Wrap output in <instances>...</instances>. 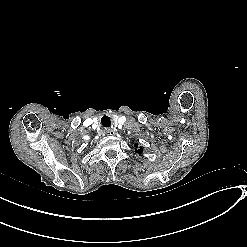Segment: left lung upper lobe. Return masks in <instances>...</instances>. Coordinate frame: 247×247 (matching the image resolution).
I'll return each mask as SVG.
<instances>
[{"instance_id":"5c2ea615","label":"left lung upper lobe","mask_w":247,"mask_h":247,"mask_svg":"<svg viewBox=\"0 0 247 247\" xmlns=\"http://www.w3.org/2000/svg\"><path fill=\"white\" fill-rule=\"evenodd\" d=\"M134 146L137 148V147H138V144H135ZM136 152H138L139 154H141V152H142V147H140L138 150L136 149Z\"/></svg>"}]
</instances>
